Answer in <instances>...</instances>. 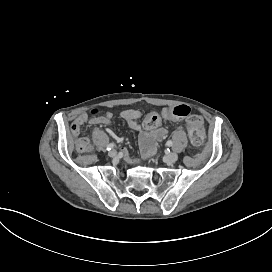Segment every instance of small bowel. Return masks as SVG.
<instances>
[{
  "label": "small bowel",
  "mask_w": 272,
  "mask_h": 272,
  "mask_svg": "<svg viewBox=\"0 0 272 272\" xmlns=\"http://www.w3.org/2000/svg\"><path fill=\"white\" fill-rule=\"evenodd\" d=\"M121 118L126 122L127 126L136 132H139L140 148L145 157L151 155L155 150V142L162 141L168 135V129L161 126H156L152 129L142 130L138 120L141 117V112L135 109L123 110L120 113ZM113 118L112 112H107L104 115L89 118L87 114L82 113L76 117L74 121L90 125H105L109 126ZM165 118L169 121H177V118L169 116L165 112Z\"/></svg>",
  "instance_id": "obj_1"
}]
</instances>
